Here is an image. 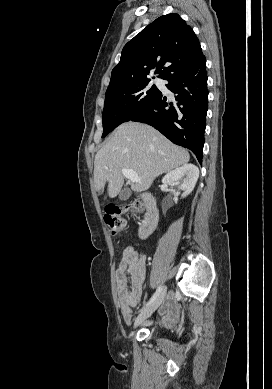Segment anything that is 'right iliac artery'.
Segmentation results:
<instances>
[{
	"mask_svg": "<svg viewBox=\"0 0 272 389\" xmlns=\"http://www.w3.org/2000/svg\"><path fill=\"white\" fill-rule=\"evenodd\" d=\"M161 291H162V286L160 285V286L157 288L156 292H155V293L153 294V296L151 297V299L149 300V302L144 306V308L147 307V306H149L150 304H152V303L155 301V299L160 295Z\"/></svg>",
	"mask_w": 272,
	"mask_h": 389,
	"instance_id": "obj_1",
	"label": "right iliac artery"
}]
</instances>
